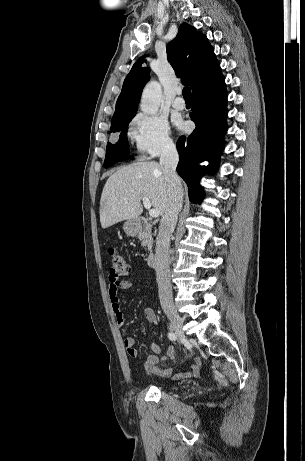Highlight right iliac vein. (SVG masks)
<instances>
[{
	"mask_svg": "<svg viewBox=\"0 0 305 461\" xmlns=\"http://www.w3.org/2000/svg\"><path fill=\"white\" fill-rule=\"evenodd\" d=\"M165 313L170 320L172 329L181 339H186V336L183 331V321L176 310L173 308H168L165 310Z\"/></svg>",
	"mask_w": 305,
	"mask_h": 461,
	"instance_id": "63e3f726",
	"label": "right iliac vein"
}]
</instances>
